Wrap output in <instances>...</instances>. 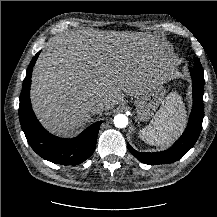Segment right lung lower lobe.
<instances>
[{
  "label": "right lung lower lobe",
  "mask_w": 217,
  "mask_h": 217,
  "mask_svg": "<svg viewBox=\"0 0 217 217\" xmlns=\"http://www.w3.org/2000/svg\"><path fill=\"white\" fill-rule=\"evenodd\" d=\"M37 53L30 62L20 95L19 117L22 130L32 149L42 158L62 165H77L89 158L96 147L97 135L102 121L85 129L78 137L64 139L46 131L37 120L30 102V85Z\"/></svg>",
  "instance_id": "1"
}]
</instances>
